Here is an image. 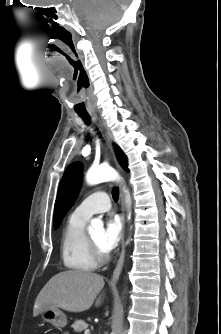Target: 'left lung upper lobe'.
<instances>
[{"mask_svg": "<svg viewBox=\"0 0 221 334\" xmlns=\"http://www.w3.org/2000/svg\"><path fill=\"white\" fill-rule=\"evenodd\" d=\"M114 148L120 163L126 170H128L126 156L116 144H114ZM82 169L83 167L81 163L74 162L67 167L63 175V178L59 185L54 208L55 228L59 225L60 220L64 216L65 212L70 208L76 195L78 194L82 179Z\"/></svg>", "mask_w": 221, "mask_h": 334, "instance_id": "left-lung-upper-lobe-1", "label": "left lung upper lobe"}]
</instances>
